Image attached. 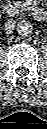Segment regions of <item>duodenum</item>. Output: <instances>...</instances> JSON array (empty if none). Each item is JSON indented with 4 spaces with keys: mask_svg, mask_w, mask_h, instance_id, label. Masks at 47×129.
I'll return each instance as SVG.
<instances>
[{
    "mask_svg": "<svg viewBox=\"0 0 47 129\" xmlns=\"http://www.w3.org/2000/svg\"><path fill=\"white\" fill-rule=\"evenodd\" d=\"M3 12L8 17H15L19 14V9L14 4L8 2L4 5ZM34 14L36 18L40 20L46 17L45 11L38 7L34 9Z\"/></svg>",
    "mask_w": 47,
    "mask_h": 129,
    "instance_id": "1",
    "label": "duodenum"
}]
</instances>
